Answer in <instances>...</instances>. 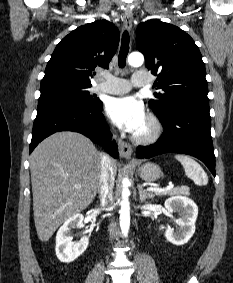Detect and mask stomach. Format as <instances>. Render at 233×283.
Masks as SVG:
<instances>
[{
	"mask_svg": "<svg viewBox=\"0 0 233 283\" xmlns=\"http://www.w3.org/2000/svg\"><path fill=\"white\" fill-rule=\"evenodd\" d=\"M138 174L142 180L154 182L161 177L162 171L157 164L147 162L138 168Z\"/></svg>",
	"mask_w": 233,
	"mask_h": 283,
	"instance_id": "stomach-1",
	"label": "stomach"
}]
</instances>
